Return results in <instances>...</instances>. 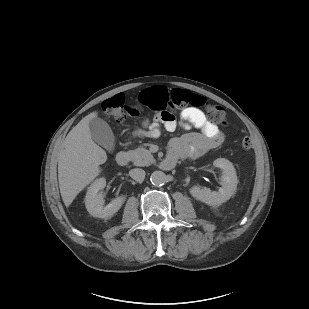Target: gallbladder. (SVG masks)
<instances>
[{"mask_svg": "<svg viewBox=\"0 0 309 309\" xmlns=\"http://www.w3.org/2000/svg\"><path fill=\"white\" fill-rule=\"evenodd\" d=\"M92 139L108 151L115 147V137L110 126L101 118H93L88 123Z\"/></svg>", "mask_w": 309, "mask_h": 309, "instance_id": "obj_1", "label": "gallbladder"}]
</instances>
